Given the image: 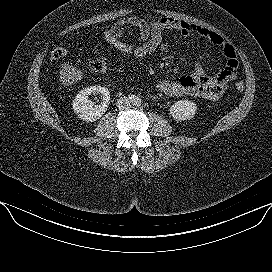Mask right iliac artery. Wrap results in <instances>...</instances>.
<instances>
[{
  "label": "right iliac artery",
  "instance_id": "obj_1",
  "mask_svg": "<svg viewBox=\"0 0 272 272\" xmlns=\"http://www.w3.org/2000/svg\"><path fill=\"white\" fill-rule=\"evenodd\" d=\"M129 99H130L131 102H134L136 100V97L134 95H130Z\"/></svg>",
  "mask_w": 272,
  "mask_h": 272
}]
</instances>
